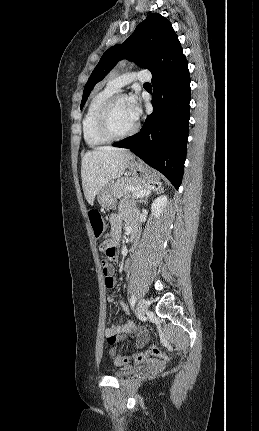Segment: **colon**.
Returning <instances> with one entry per match:
<instances>
[{"instance_id": "obj_1", "label": "colon", "mask_w": 259, "mask_h": 431, "mask_svg": "<svg viewBox=\"0 0 259 431\" xmlns=\"http://www.w3.org/2000/svg\"><path fill=\"white\" fill-rule=\"evenodd\" d=\"M88 217L95 238L101 239L99 249L103 255V267H108L110 265L109 263L116 259L117 249L108 239H102L105 228L102 214L97 210H90ZM107 337L110 344H114L118 339L115 333H110ZM111 356L116 365L129 366L131 364L143 362L151 357L166 358L167 354L159 346L151 345L146 350L133 356H121L114 351L111 352Z\"/></svg>"}]
</instances>
